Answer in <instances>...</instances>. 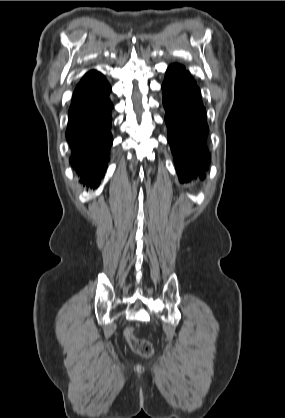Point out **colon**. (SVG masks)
Listing matches in <instances>:
<instances>
[{
  "label": "colon",
  "mask_w": 285,
  "mask_h": 418,
  "mask_svg": "<svg viewBox=\"0 0 285 418\" xmlns=\"http://www.w3.org/2000/svg\"><path fill=\"white\" fill-rule=\"evenodd\" d=\"M124 335L132 350L146 358H149L153 355L154 349L152 343L149 340L137 337L133 327H127L125 329Z\"/></svg>",
  "instance_id": "colon-1"
}]
</instances>
